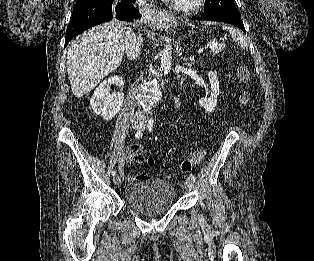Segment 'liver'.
Wrapping results in <instances>:
<instances>
[{
    "label": "liver",
    "instance_id": "6515ba94",
    "mask_svg": "<svg viewBox=\"0 0 314 261\" xmlns=\"http://www.w3.org/2000/svg\"><path fill=\"white\" fill-rule=\"evenodd\" d=\"M129 28L111 21L91 28L70 45L67 72L73 94L80 98L121 64Z\"/></svg>",
    "mask_w": 314,
    "mask_h": 261
}]
</instances>
